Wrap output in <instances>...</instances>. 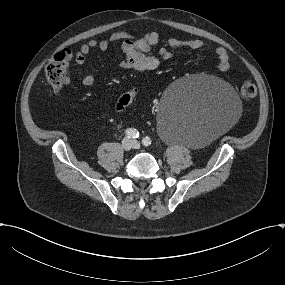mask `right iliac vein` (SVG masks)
I'll return each mask as SVG.
<instances>
[{
	"label": "right iliac vein",
	"instance_id": "right-iliac-vein-1",
	"mask_svg": "<svg viewBox=\"0 0 285 285\" xmlns=\"http://www.w3.org/2000/svg\"><path fill=\"white\" fill-rule=\"evenodd\" d=\"M133 146H134V143L131 139L126 137L122 140L121 147L123 150L129 151L131 148H133Z\"/></svg>",
	"mask_w": 285,
	"mask_h": 285
}]
</instances>
